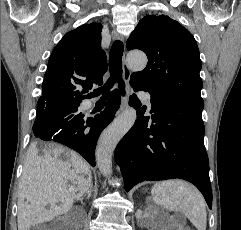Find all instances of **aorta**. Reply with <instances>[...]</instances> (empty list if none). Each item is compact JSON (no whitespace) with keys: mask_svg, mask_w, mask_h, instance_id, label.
Returning <instances> with one entry per match:
<instances>
[{"mask_svg":"<svg viewBox=\"0 0 241 230\" xmlns=\"http://www.w3.org/2000/svg\"><path fill=\"white\" fill-rule=\"evenodd\" d=\"M127 63L133 71H142L147 65V57L143 52H130ZM136 118L135 109L128 108L101 135L96 149V161L103 176L111 175L113 152L122 137L132 128Z\"/></svg>","mask_w":241,"mask_h":230,"instance_id":"762f6f07","label":"aorta"}]
</instances>
